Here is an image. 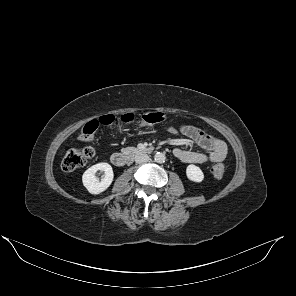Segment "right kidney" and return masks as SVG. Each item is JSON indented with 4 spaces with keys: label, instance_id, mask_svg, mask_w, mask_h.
Returning <instances> with one entry per match:
<instances>
[{
    "label": "right kidney",
    "instance_id": "right-kidney-1",
    "mask_svg": "<svg viewBox=\"0 0 296 296\" xmlns=\"http://www.w3.org/2000/svg\"><path fill=\"white\" fill-rule=\"evenodd\" d=\"M99 170L104 171L101 181L95 176ZM113 178L114 173L111 165L108 163H98L84 172L82 182L89 193L97 195L104 192L111 185Z\"/></svg>",
    "mask_w": 296,
    "mask_h": 296
}]
</instances>
